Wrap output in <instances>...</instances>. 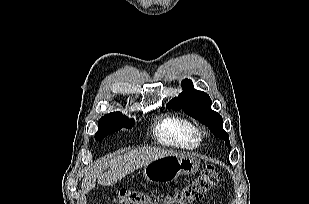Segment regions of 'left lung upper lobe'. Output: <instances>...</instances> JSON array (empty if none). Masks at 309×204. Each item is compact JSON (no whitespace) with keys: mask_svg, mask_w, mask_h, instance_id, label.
<instances>
[{"mask_svg":"<svg viewBox=\"0 0 309 204\" xmlns=\"http://www.w3.org/2000/svg\"><path fill=\"white\" fill-rule=\"evenodd\" d=\"M183 92L173 98L167 108L175 111L183 110L188 115L206 125L217 138L225 140L230 145L229 136L223 129V120L220 114L211 109V99L208 94L194 89L191 80L182 81ZM230 152V146H229ZM229 162V159H227Z\"/></svg>","mask_w":309,"mask_h":204,"instance_id":"left-lung-upper-lobe-1","label":"left lung upper lobe"}]
</instances>
